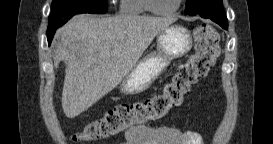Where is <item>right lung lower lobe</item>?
<instances>
[{"mask_svg":"<svg viewBox=\"0 0 273 144\" xmlns=\"http://www.w3.org/2000/svg\"><path fill=\"white\" fill-rule=\"evenodd\" d=\"M66 22H67V19H64V20L60 23L59 27L62 26V25H63L64 23H66ZM54 34H55V32H54V33H51V34H48V36H47V38H48V44H49V45H50L51 42H52V39H53Z\"/></svg>","mask_w":273,"mask_h":144,"instance_id":"obj_1","label":"right lung lower lobe"}]
</instances>
